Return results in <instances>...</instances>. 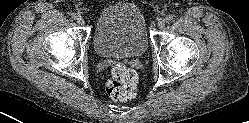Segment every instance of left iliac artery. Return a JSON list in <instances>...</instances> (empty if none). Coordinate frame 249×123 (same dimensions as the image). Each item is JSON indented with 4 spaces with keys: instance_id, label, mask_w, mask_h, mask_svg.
<instances>
[{
    "instance_id": "left-iliac-artery-1",
    "label": "left iliac artery",
    "mask_w": 249,
    "mask_h": 123,
    "mask_svg": "<svg viewBox=\"0 0 249 123\" xmlns=\"http://www.w3.org/2000/svg\"><path fill=\"white\" fill-rule=\"evenodd\" d=\"M165 20H166L167 23H171L173 21V16L172 15H167L165 17Z\"/></svg>"
}]
</instances>
